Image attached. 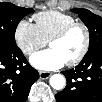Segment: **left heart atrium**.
I'll use <instances>...</instances> for the list:
<instances>
[{"mask_svg": "<svg viewBox=\"0 0 102 102\" xmlns=\"http://www.w3.org/2000/svg\"><path fill=\"white\" fill-rule=\"evenodd\" d=\"M31 64L41 71L57 70L64 66V59L53 49L34 53L30 58Z\"/></svg>", "mask_w": 102, "mask_h": 102, "instance_id": "left-heart-atrium-1", "label": "left heart atrium"}]
</instances>
